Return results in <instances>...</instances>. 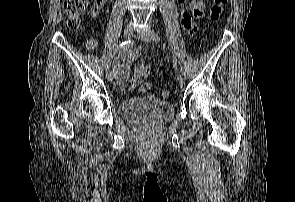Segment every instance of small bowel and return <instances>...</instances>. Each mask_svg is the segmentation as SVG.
Instances as JSON below:
<instances>
[{"label": "small bowel", "mask_w": 295, "mask_h": 202, "mask_svg": "<svg viewBox=\"0 0 295 202\" xmlns=\"http://www.w3.org/2000/svg\"><path fill=\"white\" fill-rule=\"evenodd\" d=\"M108 0H94L90 14L92 17H96L100 14ZM180 4H184L185 0H179ZM206 11V3L201 0H192L190 2V11H183L181 14L182 27L189 32H193L196 29V20L201 19ZM88 45L91 48L97 46L95 39H89ZM140 48L124 50L119 54V61L114 63V69L117 73V83L124 91L133 92L142 82L143 79H148V74L136 75L135 72L131 78V84L129 87L126 85V81L130 74L129 64L134 61L140 54Z\"/></svg>", "instance_id": "small-bowel-1"}]
</instances>
